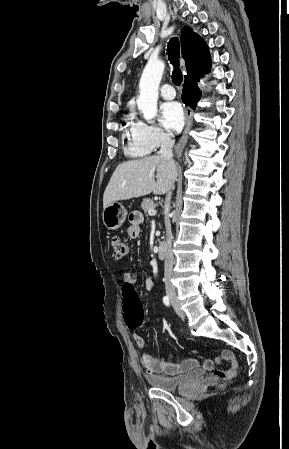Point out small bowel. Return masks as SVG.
Returning a JSON list of instances; mask_svg holds the SVG:
<instances>
[{
	"instance_id": "small-bowel-1",
	"label": "small bowel",
	"mask_w": 289,
	"mask_h": 449,
	"mask_svg": "<svg viewBox=\"0 0 289 449\" xmlns=\"http://www.w3.org/2000/svg\"><path fill=\"white\" fill-rule=\"evenodd\" d=\"M130 225L127 228V236L130 239H136L140 233V224L142 217L138 213H132L129 216ZM136 281V274L132 270H128L124 273L123 282ZM146 288L153 290L155 283L152 278L146 279ZM133 339L137 346L144 349L146 341L138 333H133ZM227 362V366L224 369H216L214 375L220 379H231L235 377L238 371V361L234 353L230 350H224L215 359H205L203 362H199L195 358L184 360L180 363H175L172 356H161L159 359H155L148 353H143L141 356V364L147 374L158 375L163 374L165 376H175L194 368H202L204 370H212L216 364Z\"/></svg>"
}]
</instances>
